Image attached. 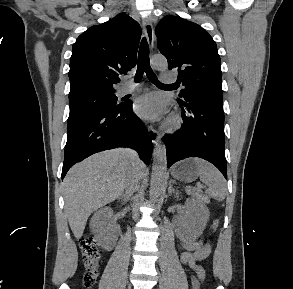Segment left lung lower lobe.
<instances>
[{
	"label": "left lung lower lobe",
	"mask_w": 293,
	"mask_h": 289,
	"mask_svg": "<svg viewBox=\"0 0 293 289\" xmlns=\"http://www.w3.org/2000/svg\"><path fill=\"white\" fill-rule=\"evenodd\" d=\"M183 124L164 136L167 167L188 158H203L215 165L227 179L223 101L205 96L177 98Z\"/></svg>",
	"instance_id": "1"
}]
</instances>
